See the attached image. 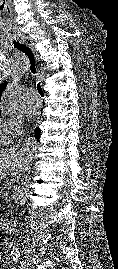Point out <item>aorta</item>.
Returning <instances> with one entry per match:
<instances>
[{
    "label": "aorta",
    "instance_id": "aorta-1",
    "mask_svg": "<svg viewBox=\"0 0 118 269\" xmlns=\"http://www.w3.org/2000/svg\"><path fill=\"white\" fill-rule=\"evenodd\" d=\"M18 89V79H15L12 84L10 85V87L7 89L6 92V97H5V103L7 105H9L12 100L14 99V96L16 95ZM28 197V193H27V189L25 188V186L23 185H19L14 189L13 192V198L15 200V202L17 203H22L25 202L27 200ZM15 250V249H13Z\"/></svg>",
    "mask_w": 118,
    "mask_h": 269
}]
</instances>
